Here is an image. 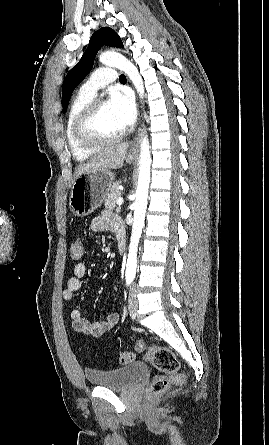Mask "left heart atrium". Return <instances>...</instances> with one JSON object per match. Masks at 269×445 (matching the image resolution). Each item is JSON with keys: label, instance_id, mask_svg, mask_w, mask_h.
<instances>
[{"label": "left heart atrium", "instance_id": "39dd6f15", "mask_svg": "<svg viewBox=\"0 0 269 445\" xmlns=\"http://www.w3.org/2000/svg\"><path fill=\"white\" fill-rule=\"evenodd\" d=\"M107 104L124 128H127L134 123L136 118V107L131 94L127 92L113 91Z\"/></svg>", "mask_w": 269, "mask_h": 445}]
</instances>
